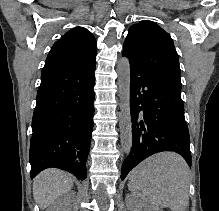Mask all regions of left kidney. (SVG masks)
Masks as SVG:
<instances>
[{
    "label": "left kidney",
    "mask_w": 219,
    "mask_h": 211,
    "mask_svg": "<svg viewBox=\"0 0 219 211\" xmlns=\"http://www.w3.org/2000/svg\"><path fill=\"white\" fill-rule=\"evenodd\" d=\"M135 211H161L157 205H144V203H141V205H137Z\"/></svg>",
    "instance_id": "5707ae66"
}]
</instances>
